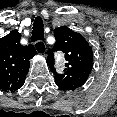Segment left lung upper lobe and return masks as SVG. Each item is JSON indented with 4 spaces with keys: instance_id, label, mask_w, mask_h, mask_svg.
I'll list each match as a JSON object with an SVG mask.
<instances>
[{
    "instance_id": "1",
    "label": "left lung upper lobe",
    "mask_w": 117,
    "mask_h": 117,
    "mask_svg": "<svg viewBox=\"0 0 117 117\" xmlns=\"http://www.w3.org/2000/svg\"><path fill=\"white\" fill-rule=\"evenodd\" d=\"M56 43L53 51L60 49L65 53L67 60L63 74H58L54 68L53 51L47 62L54 73L57 86L61 90L74 91L84 85L93 68V52L88 42L81 34L62 26L55 29Z\"/></svg>"
}]
</instances>
